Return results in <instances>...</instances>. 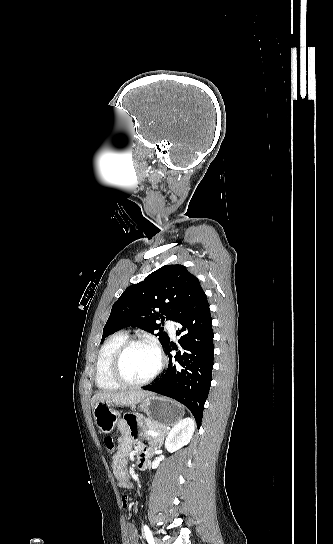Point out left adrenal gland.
I'll return each instance as SVG.
<instances>
[{"label":"left adrenal gland","mask_w":333,"mask_h":544,"mask_svg":"<svg viewBox=\"0 0 333 544\" xmlns=\"http://www.w3.org/2000/svg\"><path fill=\"white\" fill-rule=\"evenodd\" d=\"M167 433H168V432L163 433L162 435H160V436L157 437V441H158V443H159V444H158V447H159V448L162 447L164 438H165V436L167 435Z\"/></svg>","instance_id":"left-adrenal-gland-1"}]
</instances>
